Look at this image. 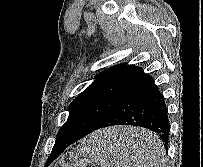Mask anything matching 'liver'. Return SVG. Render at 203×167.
<instances>
[{"mask_svg": "<svg viewBox=\"0 0 203 167\" xmlns=\"http://www.w3.org/2000/svg\"><path fill=\"white\" fill-rule=\"evenodd\" d=\"M102 134L113 139L111 153L114 160L138 167L140 142L149 134L148 131L136 127H114L103 130Z\"/></svg>", "mask_w": 203, "mask_h": 167, "instance_id": "1", "label": "liver"}]
</instances>
